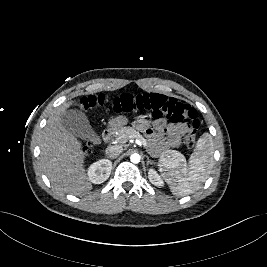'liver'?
I'll return each mask as SVG.
<instances>
[{
    "mask_svg": "<svg viewBox=\"0 0 267 267\" xmlns=\"http://www.w3.org/2000/svg\"><path fill=\"white\" fill-rule=\"evenodd\" d=\"M65 102L49 117L40 140V164L54 188L73 195L92 189L84 167L82 144L62 125V114L72 105Z\"/></svg>",
    "mask_w": 267,
    "mask_h": 267,
    "instance_id": "1",
    "label": "liver"
}]
</instances>
